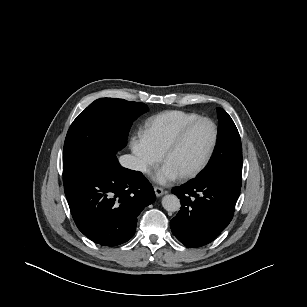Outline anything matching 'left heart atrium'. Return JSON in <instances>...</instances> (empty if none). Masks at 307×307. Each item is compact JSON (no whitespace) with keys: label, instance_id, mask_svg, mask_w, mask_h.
<instances>
[{"label":"left heart atrium","instance_id":"left-heart-atrium-1","mask_svg":"<svg viewBox=\"0 0 307 307\" xmlns=\"http://www.w3.org/2000/svg\"><path fill=\"white\" fill-rule=\"evenodd\" d=\"M180 173L177 172L169 164L165 163L154 175L155 181L161 184H168L180 178Z\"/></svg>","mask_w":307,"mask_h":307}]
</instances>
